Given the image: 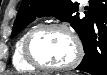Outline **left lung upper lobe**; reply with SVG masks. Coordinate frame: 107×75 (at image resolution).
<instances>
[{
	"mask_svg": "<svg viewBox=\"0 0 107 75\" xmlns=\"http://www.w3.org/2000/svg\"><path fill=\"white\" fill-rule=\"evenodd\" d=\"M78 5V3H74L71 0H23L13 26L11 37L17 35L37 16L50 15L57 17L61 21L69 22L79 36H81L90 21V17L87 12L85 16H80L77 13ZM102 25L104 24L101 23L96 31L99 39L107 38V30H103Z\"/></svg>",
	"mask_w": 107,
	"mask_h": 75,
	"instance_id": "1",
	"label": "left lung upper lobe"
}]
</instances>
